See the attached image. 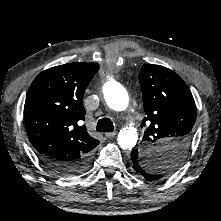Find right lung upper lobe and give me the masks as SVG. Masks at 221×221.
<instances>
[{"mask_svg": "<svg viewBox=\"0 0 221 221\" xmlns=\"http://www.w3.org/2000/svg\"><path fill=\"white\" fill-rule=\"evenodd\" d=\"M99 66L70 63L41 72L32 82L24 118L29 140L39 156L63 162L91 156L99 141L84 125L83 94Z\"/></svg>", "mask_w": 221, "mask_h": 221, "instance_id": "right-lung-upper-lobe-1", "label": "right lung upper lobe"}]
</instances>
